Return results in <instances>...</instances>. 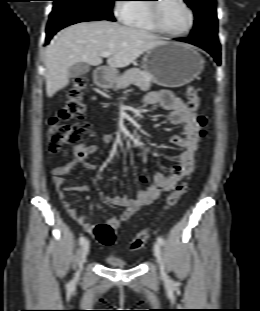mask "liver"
<instances>
[{
  "label": "liver",
  "mask_w": 260,
  "mask_h": 311,
  "mask_svg": "<svg viewBox=\"0 0 260 311\" xmlns=\"http://www.w3.org/2000/svg\"><path fill=\"white\" fill-rule=\"evenodd\" d=\"M165 43L147 31L116 22L104 20L71 25L61 30L46 49L47 96L52 97L69 84L68 70L75 64L98 66L102 63V54L110 52L109 68H123L144 52Z\"/></svg>",
  "instance_id": "1"
}]
</instances>
